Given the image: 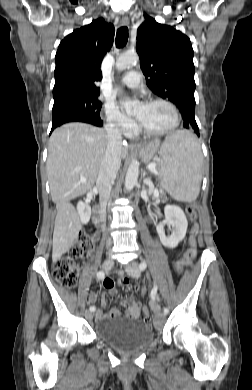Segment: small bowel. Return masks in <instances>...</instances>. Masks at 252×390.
Returning a JSON list of instances; mask_svg holds the SVG:
<instances>
[{"label":"small bowel","mask_w":252,"mask_h":390,"mask_svg":"<svg viewBox=\"0 0 252 390\" xmlns=\"http://www.w3.org/2000/svg\"><path fill=\"white\" fill-rule=\"evenodd\" d=\"M123 282L128 283V280L126 278H121L119 280L120 285H122ZM103 285L108 290L109 294L112 297H115L117 295V290L114 287V282L112 280H109V279L105 280L103 282ZM145 292H146V288H142V293H145ZM104 296H105V293L103 292L101 294V297L103 298L102 304H103V306H106ZM98 298H99V295L97 293H92L89 296V302L94 304L97 302ZM122 304L125 308L127 316L131 320L136 321V322L140 321L141 306L136 300L128 299V300L123 301ZM145 310H147V309L145 307H143L144 312H145ZM120 315H121V312L116 308H112V309L108 310L106 313H104L101 309H97L96 320L100 321V320L105 319V318H117Z\"/></svg>","instance_id":"1"}]
</instances>
